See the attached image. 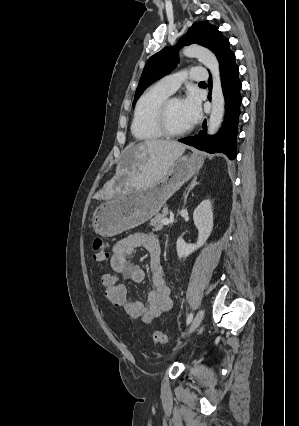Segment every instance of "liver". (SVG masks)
Instances as JSON below:
<instances>
[{
	"label": "liver",
	"instance_id": "1",
	"mask_svg": "<svg viewBox=\"0 0 299 426\" xmlns=\"http://www.w3.org/2000/svg\"><path fill=\"white\" fill-rule=\"evenodd\" d=\"M185 149L179 142L161 139L131 143L117 166L116 178L125 175L132 187H147L162 179Z\"/></svg>",
	"mask_w": 299,
	"mask_h": 426
}]
</instances>
